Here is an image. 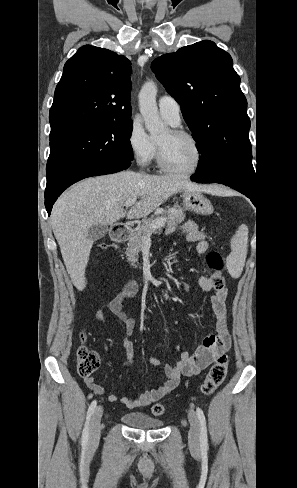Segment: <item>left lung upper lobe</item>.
Instances as JSON below:
<instances>
[{
	"label": "left lung upper lobe",
	"instance_id": "5c2ea615",
	"mask_svg": "<svg viewBox=\"0 0 297 488\" xmlns=\"http://www.w3.org/2000/svg\"><path fill=\"white\" fill-rule=\"evenodd\" d=\"M229 53L209 40L156 58L151 69L181 105L198 143V177L231 173L256 182L250 119Z\"/></svg>",
	"mask_w": 297,
	"mask_h": 488
}]
</instances>
